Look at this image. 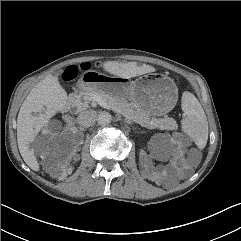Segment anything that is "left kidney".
Instances as JSON below:
<instances>
[{
    "instance_id": "5707ae66",
    "label": "left kidney",
    "mask_w": 241,
    "mask_h": 241,
    "mask_svg": "<svg viewBox=\"0 0 241 241\" xmlns=\"http://www.w3.org/2000/svg\"><path fill=\"white\" fill-rule=\"evenodd\" d=\"M178 136V135H176ZM180 137V135L178 136ZM175 145L179 147L183 146V142L181 140H177L176 137L171 138L169 140L167 137H160V139H152L149 143V150L152 155H161V154H171L173 153V148Z\"/></svg>"
}]
</instances>
